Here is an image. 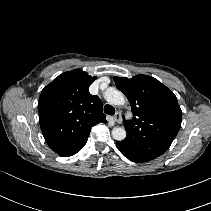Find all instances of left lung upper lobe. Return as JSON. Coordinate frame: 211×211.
I'll return each mask as SVG.
<instances>
[{
  "instance_id": "obj_1",
  "label": "left lung upper lobe",
  "mask_w": 211,
  "mask_h": 211,
  "mask_svg": "<svg viewBox=\"0 0 211 211\" xmlns=\"http://www.w3.org/2000/svg\"><path fill=\"white\" fill-rule=\"evenodd\" d=\"M128 98L133 119L125 122L127 137L118 142L130 157L147 162L162 155L176 137L182 111L174 93L148 75L114 77Z\"/></svg>"
}]
</instances>
